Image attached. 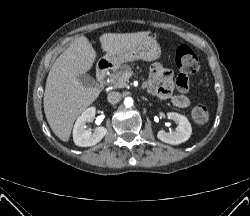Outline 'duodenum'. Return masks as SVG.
I'll use <instances>...</instances> for the list:
<instances>
[{
    "mask_svg": "<svg viewBox=\"0 0 250 216\" xmlns=\"http://www.w3.org/2000/svg\"><path fill=\"white\" fill-rule=\"evenodd\" d=\"M111 68V64L107 61H102L97 67V78L102 86L105 85L106 77Z\"/></svg>",
    "mask_w": 250,
    "mask_h": 216,
    "instance_id": "obj_1",
    "label": "duodenum"
}]
</instances>
